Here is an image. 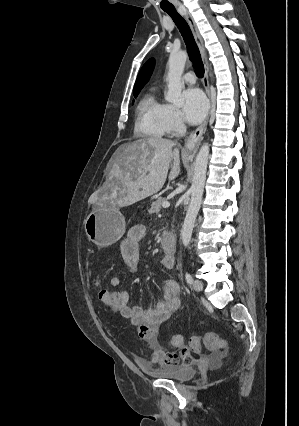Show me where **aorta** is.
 <instances>
[{
  "label": "aorta",
  "mask_w": 299,
  "mask_h": 426,
  "mask_svg": "<svg viewBox=\"0 0 299 426\" xmlns=\"http://www.w3.org/2000/svg\"><path fill=\"white\" fill-rule=\"evenodd\" d=\"M186 60L187 53L185 51L171 53L168 60V92L165 99L177 107H181L184 104V99L181 94L184 83L181 77ZM208 156L209 144L204 143L196 156L193 183L191 186V200L181 230V240L185 247H187L191 241L195 220L202 202Z\"/></svg>",
  "instance_id": "obj_1"
}]
</instances>
